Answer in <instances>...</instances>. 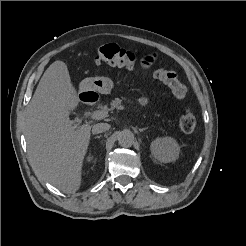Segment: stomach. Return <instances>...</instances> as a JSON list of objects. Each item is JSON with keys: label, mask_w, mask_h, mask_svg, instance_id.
<instances>
[{"label": "stomach", "mask_w": 246, "mask_h": 246, "mask_svg": "<svg viewBox=\"0 0 246 246\" xmlns=\"http://www.w3.org/2000/svg\"><path fill=\"white\" fill-rule=\"evenodd\" d=\"M114 87V83L109 77H89L80 83V92H96L109 94Z\"/></svg>", "instance_id": "stomach-1"}]
</instances>
